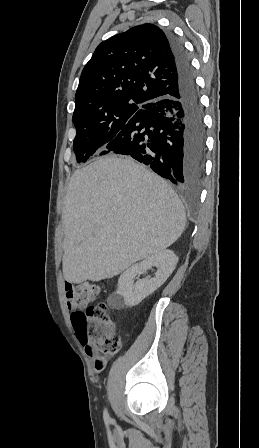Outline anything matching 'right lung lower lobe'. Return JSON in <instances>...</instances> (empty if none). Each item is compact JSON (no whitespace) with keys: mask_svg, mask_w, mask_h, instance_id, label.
I'll list each match as a JSON object with an SVG mask.
<instances>
[{"mask_svg":"<svg viewBox=\"0 0 259 448\" xmlns=\"http://www.w3.org/2000/svg\"><path fill=\"white\" fill-rule=\"evenodd\" d=\"M178 74L176 91L144 107L107 144L105 153L129 155L178 187L203 175L205 127L194 74L181 42L166 32Z\"/></svg>","mask_w":259,"mask_h":448,"instance_id":"1","label":"right lung lower lobe"}]
</instances>
